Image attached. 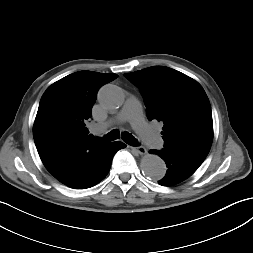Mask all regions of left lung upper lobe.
<instances>
[{"instance_id":"obj_1","label":"left lung upper lobe","mask_w":253,"mask_h":253,"mask_svg":"<svg viewBox=\"0 0 253 253\" xmlns=\"http://www.w3.org/2000/svg\"><path fill=\"white\" fill-rule=\"evenodd\" d=\"M141 91L149 121L164 124V149L205 159L213 140L210 102L201 85L164 66L124 74Z\"/></svg>"}]
</instances>
